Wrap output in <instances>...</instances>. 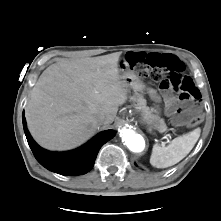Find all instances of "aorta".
I'll return each instance as SVG.
<instances>
[{
    "label": "aorta",
    "mask_w": 221,
    "mask_h": 221,
    "mask_svg": "<svg viewBox=\"0 0 221 221\" xmlns=\"http://www.w3.org/2000/svg\"><path fill=\"white\" fill-rule=\"evenodd\" d=\"M120 136L126 146L133 152H141L144 150L145 141L144 138L133 131L132 129L123 128L120 131Z\"/></svg>",
    "instance_id": "obj_1"
}]
</instances>
